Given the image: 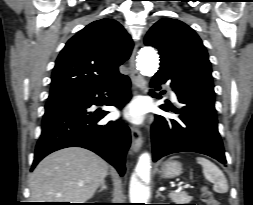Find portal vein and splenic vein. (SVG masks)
I'll return each instance as SVG.
<instances>
[{"instance_id":"18ae733b","label":"portal vein and splenic vein","mask_w":253,"mask_h":205,"mask_svg":"<svg viewBox=\"0 0 253 205\" xmlns=\"http://www.w3.org/2000/svg\"><path fill=\"white\" fill-rule=\"evenodd\" d=\"M188 187H190V184H185L184 186L179 187L178 190H180V189H182V188H188Z\"/></svg>"}]
</instances>
